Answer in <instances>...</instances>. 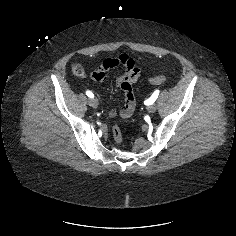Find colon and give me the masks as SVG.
<instances>
[{
	"mask_svg": "<svg viewBox=\"0 0 236 236\" xmlns=\"http://www.w3.org/2000/svg\"><path fill=\"white\" fill-rule=\"evenodd\" d=\"M72 72L76 76H81L84 73L83 68L80 65H78V64L73 65ZM166 79H167V76L164 75V74H161V75H158V76L150 78L149 81H150L151 84H155L156 85V84H161V83L165 82ZM112 134H113L114 140L117 143H121L122 142V140H123L122 132H121V129H120L119 126L114 125L112 127Z\"/></svg>",
	"mask_w": 236,
	"mask_h": 236,
	"instance_id": "1",
	"label": "colon"
}]
</instances>
